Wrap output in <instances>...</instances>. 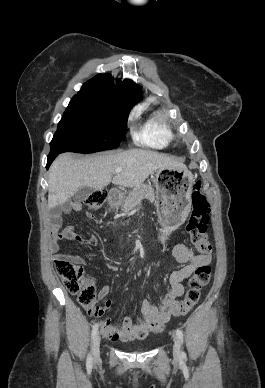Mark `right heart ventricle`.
Segmentation results:
<instances>
[{
  "label": "right heart ventricle",
  "mask_w": 265,
  "mask_h": 388,
  "mask_svg": "<svg viewBox=\"0 0 265 388\" xmlns=\"http://www.w3.org/2000/svg\"><path fill=\"white\" fill-rule=\"evenodd\" d=\"M172 136L165 117L159 112L153 114L146 125L136 133L138 141L151 144L154 147L165 146Z\"/></svg>",
  "instance_id": "1"
}]
</instances>
